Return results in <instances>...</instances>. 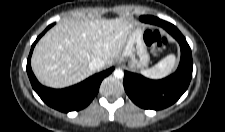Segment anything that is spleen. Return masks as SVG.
<instances>
[{"mask_svg":"<svg viewBox=\"0 0 225 132\" xmlns=\"http://www.w3.org/2000/svg\"><path fill=\"white\" fill-rule=\"evenodd\" d=\"M176 63V57L174 55H168L153 67L141 71V74L150 79H163L174 71Z\"/></svg>","mask_w":225,"mask_h":132,"instance_id":"obj_1","label":"spleen"}]
</instances>
